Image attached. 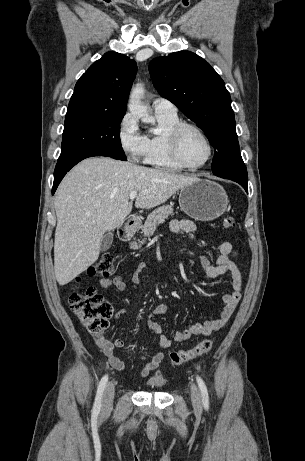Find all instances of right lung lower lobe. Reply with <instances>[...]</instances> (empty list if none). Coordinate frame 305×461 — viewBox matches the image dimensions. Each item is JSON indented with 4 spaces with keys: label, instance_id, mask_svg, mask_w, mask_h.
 <instances>
[{
    "label": "right lung lower lobe",
    "instance_id": "right-lung-lower-lobe-1",
    "mask_svg": "<svg viewBox=\"0 0 305 461\" xmlns=\"http://www.w3.org/2000/svg\"><path fill=\"white\" fill-rule=\"evenodd\" d=\"M92 156H109V155L103 154V153H89V154H86V155L75 156V157H73L71 159H68L66 161H58V163H57V165L55 167V171H54V183H53V188H52V194L55 193L59 183L61 182V180L63 179L65 174L73 166H75L81 160H83L85 158H88V157H92ZM109 157H111V156H109Z\"/></svg>",
    "mask_w": 305,
    "mask_h": 461
}]
</instances>
